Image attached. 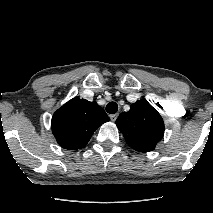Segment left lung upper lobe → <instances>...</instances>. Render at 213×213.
Masks as SVG:
<instances>
[{
  "mask_svg": "<svg viewBox=\"0 0 213 213\" xmlns=\"http://www.w3.org/2000/svg\"><path fill=\"white\" fill-rule=\"evenodd\" d=\"M127 144L138 152H149L164 135V122L160 114L146 100H137L128 112L116 120Z\"/></svg>",
  "mask_w": 213,
  "mask_h": 213,
  "instance_id": "obj_1",
  "label": "left lung upper lobe"
}]
</instances>
